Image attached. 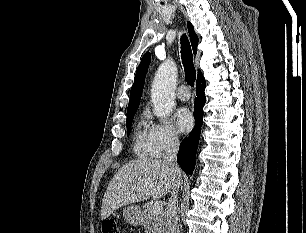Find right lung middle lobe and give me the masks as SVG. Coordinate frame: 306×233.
Returning a JSON list of instances; mask_svg holds the SVG:
<instances>
[{
  "label": "right lung middle lobe",
  "instance_id": "dd1d6c3e",
  "mask_svg": "<svg viewBox=\"0 0 306 233\" xmlns=\"http://www.w3.org/2000/svg\"><path fill=\"white\" fill-rule=\"evenodd\" d=\"M134 114L135 113L127 115V122H126V125H127V135H129L130 132H131V125H132V121H133V118H134Z\"/></svg>",
  "mask_w": 306,
  "mask_h": 233
}]
</instances>
